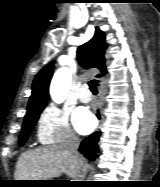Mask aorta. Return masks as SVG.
<instances>
[{"instance_id": "obj_1", "label": "aorta", "mask_w": 160, "mask_h": 187, "mask_svg": "<svg viewBox=\"0 0 160 187\" xmlns=\"http://www.w3.org/2000/svg\"><path fill=\"white\" fill-rule=\"evenodd\" d=\"M71 80L72 76L68 68L63 67L55 72L50 85V95L54 102L61 103L66 99Z\"/></svg>"}]
</instances>
